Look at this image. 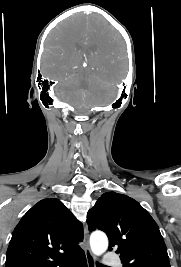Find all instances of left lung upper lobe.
<instances>
[{"label": "left lung upper lobe", "instance_id": "1", "mask_svg": "<svg viewBox=\"0 0 181 267\" xmlns=\"http://www.w3.org/2000/svg\"><path fill=\"white\" fill-rule=\"evenodd\" d=\"M89 231L99 229L109 238V251L116 250L124 267H170L159 227L134 199L106 192L88 211Z\"/></svg>", "mask_w": 181, "mask_h": 267}]
</instances>
